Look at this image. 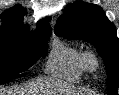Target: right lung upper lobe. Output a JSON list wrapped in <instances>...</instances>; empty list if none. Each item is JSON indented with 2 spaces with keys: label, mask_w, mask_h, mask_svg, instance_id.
<instances>
[{
  "label": "right lung upper lobe",
  "mask_w": 119,
  "mask_h": 95,
  "mask_svg": "<svg viewBox=\"0 0 119 95\" xmlns=\"http://www.w3.org/2000/svg\"><path fill=\"white\" fill-rule=\"evenodd\" d=\"M24 14H26V10L19 5L3 12L1 14L3 25L0 27V35L10 36L21 32L29 33L28 26L23 24ZM50 20V18L40 20L37 30L33 33L51 32L49 25Z\"/></svg>",
  "instance_id": "obj_1"
}]
</instances>
